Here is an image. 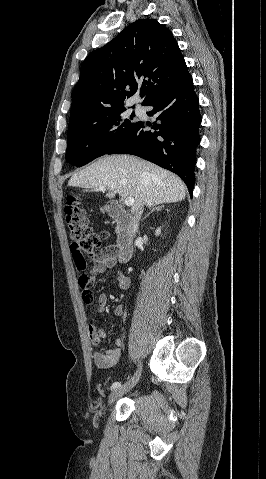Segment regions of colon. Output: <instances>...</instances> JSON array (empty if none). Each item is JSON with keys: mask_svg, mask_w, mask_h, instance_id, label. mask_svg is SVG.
I'll return each mask as SVG.
<instances>
[{"mask_svg": "<svg viewBox=\"0 0 266 479\" xmlns=\"http://www.w3.org/2000/svg\"><path fill=\"white\" fill-rule=\"evenodd\" d=\"M65 219L72 240L70 249L82 297L86 303H92L94 280L91 275L85 273L87 257L91 259L95 257L106 235L95 233L90 229L86 209L73 196L67 201Z\"/></svg>", "mask_w": 266, "mask_h": 479, "instance_id": "obj_1", "label": "colon"}]
</instances>
